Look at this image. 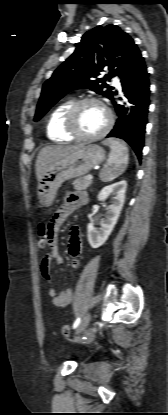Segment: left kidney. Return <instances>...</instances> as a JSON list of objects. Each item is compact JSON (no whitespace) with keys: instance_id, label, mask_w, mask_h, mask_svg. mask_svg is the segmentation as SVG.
Listing matches in <instances>:
<instances>
[{"instance_id":"left-kidney-1","label":"left kidney","mask_w":168,"mask_h":415,"mask_svg":"<svg viewBox=\"0 0 168 415\" xmlns=\"http://www.w3.org/2000/svg\"><path fill=\"white\" fill-rule=\"evenodd\" d=\"M127 183L122 180L104 187L98 194V201H105L109 195L114 196V201L107 207V213L100 222V228L96 229L92 223L87 225V238L92 248L102 246L113 231L125 202Z\"/></svg>"}]
</instances>
